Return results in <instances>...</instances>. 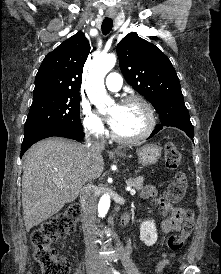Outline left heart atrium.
<instances>
[{
    "label": "left heart atrium",
    "instance_id": "39dd6f15",
    "mask_svg": "<svg viewBox=\"0 0 221 274\" xmlns=\"http://www.w3.org/2000/svg\"><path fill=\"white\" fill-rule=\"evenodd\" d=\"M109 123H110V125H111V126H113V125H114V123H115V119H114V117H113V116H110V118H109Z\"/></svg>",
    "mask_w": 221,
    "mask_h": 274
}]
</instances>
